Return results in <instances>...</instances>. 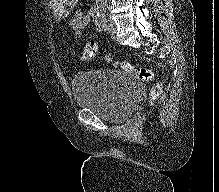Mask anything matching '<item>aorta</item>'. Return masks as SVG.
I'll list each match as a JSON object with an SVG mask.
<instances>
[{"label":"aorta","instance_id":"aorta-1","mask_svg":"<svg viewBox=\"0 0 219 192\" xmlns=\"http://www.w3.org/2000/svg\"><path fill=\"white\" fill-rule=\"evenodd\" d=\"M98 5H103L107 3L108 0H95Z\"/></svg>","mask_w":219,"mask_h":192}]
</instances>
